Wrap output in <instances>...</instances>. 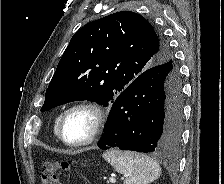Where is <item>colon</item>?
<instances>
[{
    "label": "colon",
    "instance_id": "1",
    "mask_svg": "<svg viewBox=\"0 0 224 184\" xmlns=\"http://www.w3.org/2000/svg\"><path fill=\"white\" fill-rule=\"evenodd\" d=\"M69 172L67 162L45 163L40 172V184H60V176Z\"/></svg>",
    "mask_w": 224,
    "mask_h": 184
}]
</instances>
